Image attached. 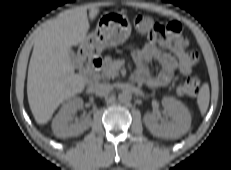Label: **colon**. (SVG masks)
Wrapping results in <instances>:
<instances>
[{
    "mask_svg": "<svg viewBox=\"0 0 231 170\" xmlns=\"http://www.w3.org/2000/svg\"><path fill=\"white\" fill-rule=\"evenodd\" d=\"M134 27L136 31L149 38L160 39L165 34V27L156 23L147 15H137L134 18ZM201 86V80L197 73L189 75L183 83L177 86L176 91L179 95L194 96L198 93Z\"/></svg>",
    "mask_w": 231,
    "mask_h": 170,
    "instance_id": "1",
    "label": "colon"
}]
</instances>
